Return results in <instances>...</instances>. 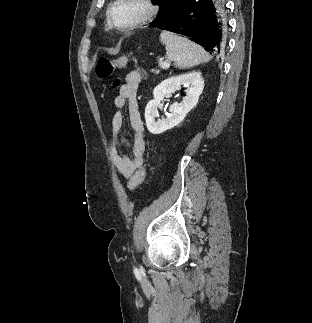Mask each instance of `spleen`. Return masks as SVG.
Segmentation results:
<instances>
[{"instance_id":"obj_1","label":"spleen","mask_w":312,"mask_h":323,"mask_svg":"<svg viewBox=\"0 0 312 323\" xmlns=\"http://www.w3.org/2000/svg\"><path fill=\"white\" fill-rule=\"evenodd\" d=\"M160 42L165 44L167 60L174 62L178 68H193L198 64L209 62L211 58L202 46L194 44L187 38H181L180 34H174V32L162 30Z\"/></svg>"}]
</instances>
